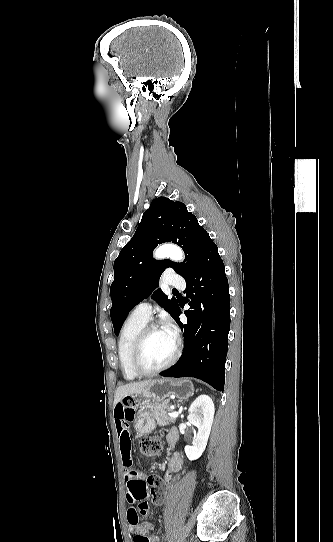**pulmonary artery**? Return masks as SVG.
<instances>
[{
    "label": "pulmonary artery",
    "instance_id": "pulmonary-artery-1",
    "mask_svg": "<svg viewBox=\"0 0 333 542\" xmlns=\"http://www.w3.org/2000/svg\"><path fill=\"white\" fill-rule=\"evenodd\" d=\"M166 281L172 285L173 288L179 289L183 288V276L180 273L174 274V269L172 267H167L165 269ZM153 313V305L151 301H143L138 303L130 312V317L142 321L148 322Z\"/></svg>",
    "mask_w": 333,
    "mask_h": 542
}]
</instances>
